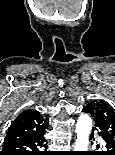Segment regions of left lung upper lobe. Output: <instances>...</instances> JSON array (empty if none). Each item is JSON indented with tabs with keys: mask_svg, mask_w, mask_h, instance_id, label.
Wrapping results in <instances>:
<instances>
[{
	"mask_svg": "<svg viewBox=\"0 0 115 155\" xmlns=\"http://www.w3.org/2000/svg\"><path fill=\"white\" fill-rule=\"evenodd\" d=\"M86 107L91 108L95 119H97L102 131L106 133L109 145L103 155H115V109L105 102H90Z\"/></svg>",
	"mask_w": 115,
	"mask_h": 155,
	"instance_id": "obj_1",
	"label": "left lung upper lobe"
}]
</instances>
